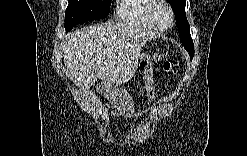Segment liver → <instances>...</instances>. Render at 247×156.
Instances as JSON below:
<instances>
[{
  "label": "liver",
  "mask_w": 247,
  "mask_h": 156,
  "mask_svg": "<svg viewBox=\"0 0 247 156\" xmlns=\"http://www.w3.org/2000/svg\"><path fill=\"white\" fill-rule=\"evenodd\" d=\"M158 35L126 23H104L68 35L66 73L76 84L90 87L97 79L111 84L130 81L145 43Z\"/></svg>",
  "instance_id": "1"
}]
</instances>
